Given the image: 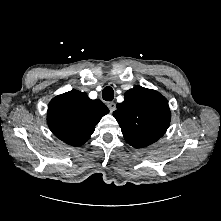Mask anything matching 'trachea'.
Instances as JSON below:
<instances>
[{"instance_id":"3493384b","label":"trachea","mask_w":221,"mask_h":221,"mask_svg":"<svg viewBox=\"0 0 221 221\" xmlns=\"http://www.w3.org/2000/svg\"><path fill=\"white\" fill-rule=\"evenodd\" d=\"M102 97L105 101H112L114 98V91L111 87L107 86L102 91Z\"/></svg>"}]
</instances>
